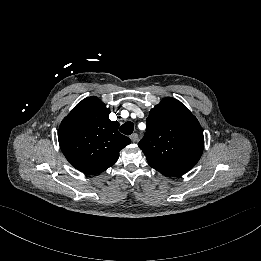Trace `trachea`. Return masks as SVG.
<instances>
[{"mask_svg":"<svg viewBox=\"0 0 261 261\" xmlns=\"http://www.w3.org/2000/svg\"><path fill=\"white\" fill-rule=\"evenodd\" d=\"M120 132L125 134V135H130L133 133L134 130V124L130 121L125 122L121 127H120Z\"/></svg>","mask_w":261,"mask_h":261,"instance_id":"trachea-1","label":"trachea"}]
</instances>
